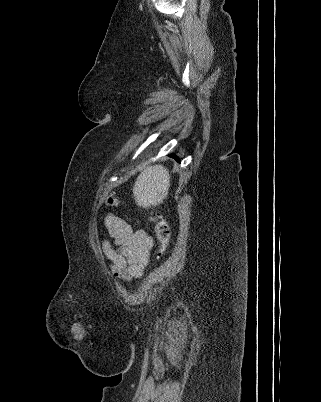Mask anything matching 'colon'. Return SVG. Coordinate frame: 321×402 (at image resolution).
<instances>
[{
	"label": "colon",
	"instance_id": "colon-1",
	"mask_svg": "<svg viewBox=\"0 0 321 402\" xmlns=\"http://www.w3.org/2000/svg\"><path fill=\"white\" fill-rule=\"evenodd\" d=\"M109 206H119L120 200L114 196L109 195L106 200ZM148 220L154 224L156 237L159 243L157 257L161 258L166 253L170 243V231L167 222L158 214H151Z\"/></svg>",
	"mask_w": 321,
	"mask_h": 402
}]
</instances>
